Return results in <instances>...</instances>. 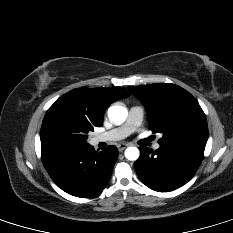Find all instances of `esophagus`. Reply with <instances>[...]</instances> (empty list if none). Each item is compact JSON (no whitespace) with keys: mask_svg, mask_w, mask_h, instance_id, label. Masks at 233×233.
<instances>
[{"mask_svg":"<svg viewBox=\"0 0 233 233\" xmlns=\"http://www.w3.org/2000/svg\"><path fill=\"white\" fill-rule=\"evenodd\" d=\"M128 147V144H125V143H121V144H119L118 145V150L120 151V152H122L125 148H127Z\"/></svg>","mask_w":233,"mask_h":233,"instance_id":"1","label":"esophagus"}]
</instances>
